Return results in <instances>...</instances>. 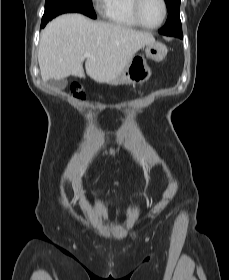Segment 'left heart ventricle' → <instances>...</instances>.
I'll list each match as a JSON object with an SVG mask.
<instances>
[{"label":"left heart ventricle","instance_id":"obj_1","mask_svg":"<svg viewBox=\"0 0 229 280\" xmlns=\"http://www.w3.org/2000/svg\"><path fill=\"white\" fill-rule=\"evenodd\" d=\"M163 15L162 5L159 0H144L141 8L143 21L151 26L157 25Z\"/></svg>","mask_w":229,"mask_h":280}]
</instances>
